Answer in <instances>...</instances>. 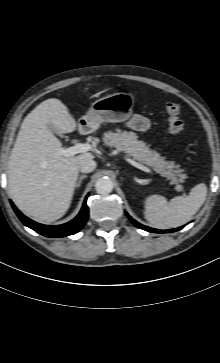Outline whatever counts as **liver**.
Listing matches in <instances>:
<instances>
[{
  "instance_id": "1",
  "label": "liver",
  "mask_w": 220,
  "mask_h": 363,
  "mask_svg": "<svg viewBox=\"0 0 220 363\" xmlns=\"http://www.w3.org/2000/svg\"><path fill=\"white\" fill-rule=\"evenodd\" d=\"M51 128L71 133L77 123L58 99L41 102L23 120L8 165V186L15 205L33 219L49 223L69 209L79 163L94 155H58L62 145Z\"/></svg>"
}]
</instances>
